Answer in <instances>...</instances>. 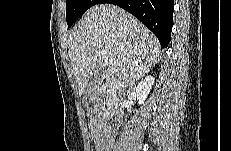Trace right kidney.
I'll list each match as a JSON object with an SVG mask.
<instances>
[{
    "instance_id": "ca27d5eb",
    "label": "right kidney",
    "mask_w": 231,
    "mask_h": 151,
    "mask_svg": "<svg viewBox=\"0 0 231 151\" xmlns=\"http://www.w3.org/2000/svg\"><path fill=\"white\" fill-rule=\"evenodd\" d=\"M154 81L155 78L153 76H146L136 87V97L140 105L144 104L150 90L152 89Z\"/></svg>"
}]
</instances>
